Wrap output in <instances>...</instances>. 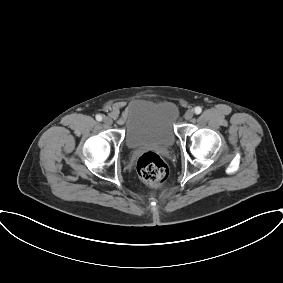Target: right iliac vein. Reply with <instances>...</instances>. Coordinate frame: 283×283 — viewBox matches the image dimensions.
Returning <instances> with one entry per match:
<instances>
[{
	"mask_svg": "<svg viewBox=\"0 0 283 283\" xmlns=\"http://www.w3.org/2000/svg\"><path fill=\"white\" fill-rule=\"evenodd\" d=\"M103 122H104L105 125H112L113 120H112V118L106 116V117H104Z\"/></svg>",
	"mask_w": 283,
	"mask_h": 283,
	"instance_id": "1",
	"label": "right iliac vein"
}]
</instances>
